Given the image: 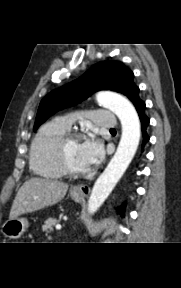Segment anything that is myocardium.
<instances>
[{
	"instance_id": "obj_1",
	"label": "myocardium",
	"mask_w": 181,
	"mask_h": 288,
	"mask_svg": "<svg viewBox=\"0 0 181 288\" xmlns=\"http://www.w3.org/2000/svg\"><path fill=\"white\" fill-rule=\"evenodd\" d=\"M81 137L80 133L77 132H66L58 141L56 147V157L57 162L65 175L72 176V177H81L88 173L87 170L79 171L72 168L67 160L66 157V146L69 142L73 140H79Z\"/></svg>"
}]
</instances>
